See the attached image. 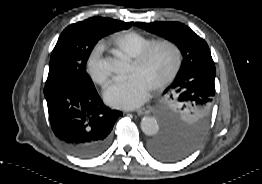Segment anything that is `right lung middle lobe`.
I'll return each mask as SVG.
<instances>
[{"label": "right lung middle lobe", "mask_w": 262, "mask_h": 184, "mask_svg": "<svg viewBox=\"0 0 262 184\" xmlns=\"http://www.w3.org/2000/svg\"><path fill=\"white\" fill-rule=\"evenodd\" d=\"M132 25L133 23L92 17L66 27L52 51L46 84L75 82L94 87L85 65L95 44L102 37L128 29Z\"/></svg>", "instance_id": "obj_1"}]
</instances>
